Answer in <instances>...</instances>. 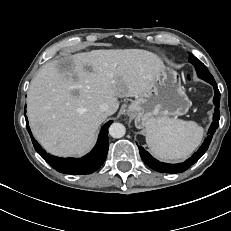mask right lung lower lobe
I'll use <instances>...</instances> for the list:
<instances>
[{
    "instance_id": "98d812e1",
    "label": "right lung lower lobe",
    "mask_w": 231,
    "mask_h": 231,
    "mask_svg": "<svg viewBox=\"0 0 231 231\" xmlns=\"http://www.w3.org/2000/svg\"><path fill=\"white\" fill-rule=\"evenodd\" d=\"M112 122L113 121H109L102 127L97 144L90 153L82 158H59L47 154L32 137L28 121L26 122V127L31 136L35 150L50 166L60 173L81 175L91 174L103 165L109 149L108 127Z\"/></svg>"
}]
</instances>
